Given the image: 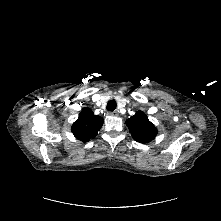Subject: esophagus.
Wrapping results in <instances>:
<instances>
[{
	"instance_id": "1",
	"label": "esophagus",
	"mask_w": 221,
	"mask_h": 221,
	"mask_svg": "<svg viewBox=\"0 0 221 221\" xmlns=\"http://www.w3.org/2000/svg\"><path fill=\"white\" fill-rule=\"evenodd\" d=\"M110 114L113 116H116V115H118V111H112V112H110Z\"/></svg>"
}]
</instances>
